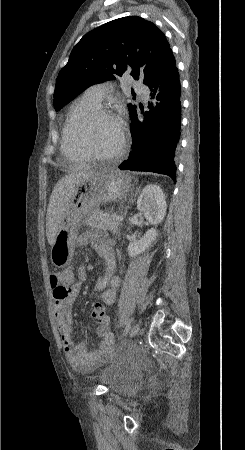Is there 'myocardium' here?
I'll return each mask as SVG.
<instances>
[{
  "mask_svg": "<svg viewBox=\"0 0 245 450\" xmlns=\"http://www.w3.org/2000/svg\"><path fill=\"white\" fill-rule=\"evenodd\" d=\"M102 120H112L120 125L121 142L119 147L109 154H99L94 150L91 144V134L95 125ZM84 131L76 130V138L79 146L85 151L89 159L94 161H110L122 157L127 149L128 135L124 122L119 116L111 111L99 108L91 113L83 122Z\"/></svg>",
  "mask_w": 245,
  "mask_h": 450,
  "instance_id": "1",
  "label": "myocardium"
}]
</instances>
